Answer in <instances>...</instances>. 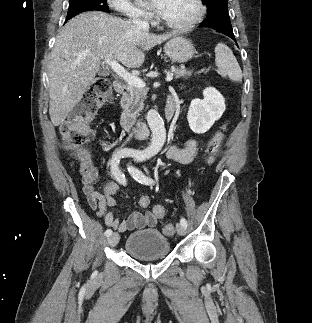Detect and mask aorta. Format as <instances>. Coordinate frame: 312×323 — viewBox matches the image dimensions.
Listing matches in <instances>:
<instances>
[{
    "instance_id": "762f6f07",
    "label": "aorta",
    "mask_w": 312,
    "mask_h": 323,
    "mask_svg": "<svg viewBox=\"0 0 312 323\" xmlns=\"http://www.w3.org/2000/svg\"><path fill=\"white\" fill-rule=\"evenodd\" d=\"M147 122L152 132V142L149 146V150L152 154H158L166 142L164 122L161 120L156 110H149L147 114Z\"/></svg>"
}]
</instances>
